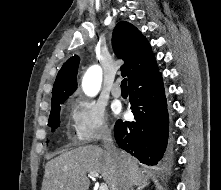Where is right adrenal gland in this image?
<instances>
[{
  "label": "right adrenal gland",
  "mask_w": 221,
  "mask_h": 190,
  "mask_svg": "<svg viewBox=\"0 0 221 190\" xmlns=\"http://www.w3.org/2000/svg\"><path fill=\"white\" fill-rule=\"evenodd\" d=\"M148 186V183H146V184H143V185H140V186H138L137 188H136V190H143L145 187H147Z\"/></svg>",
  "instance_id": "obj_1"
}]
</instances>
